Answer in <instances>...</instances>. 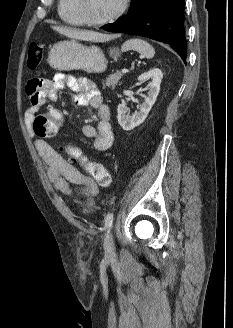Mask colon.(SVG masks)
Listing matches in <instances>:
<instances>
[{"instance_id": "5ec220e1", "label": "colon", "mask_w": 233, "mask_h": 328, "mask_svg": "<svg viewBox=\"0 0 233 328\" xmlns=\"http://www.w3.org/2000/svg\"><path fill=\"white\" fill-rule=\"evenodd\" d=\"M44 49L37 43H32L28 49L26 66L30 70L36 69L42 62ZM63 115L59 111H50L46 113H38L33 119V132L41 138L53 137L58 132L63 123ZM59 152L66 154L68 159L74 162L80 161V154L73 147L59 146ZM87 169L96 181L106 186L110 183V175L108 171L101 165L88 164Z\"/></svg>"}]
</instances>
